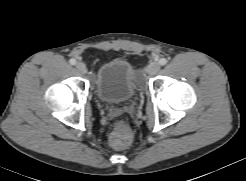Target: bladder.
I'll return each instance as SVG.
<instances>
[{"mask_svg":"<svg viewBox=\"0 0 246 181\" xmlns=\"http://www.w3.org/2000/svg\"><path fill=\"white\" fill-rule=\"evenodd\" d=\"M139 88V74L130 62L116 58L104 63L95 77L99 99L109 104L130 101Z\"/></svg>","mask_w":246,"mask_h":181,"instance_id":"1","label":"bladder"}]
</instances>
